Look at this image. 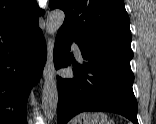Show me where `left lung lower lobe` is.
Returning <instances> with one entry per match:
<instances>
[{
    "mask_svg": "<svg viewBox=\"0 0 156 124\" xmlns=\"http://www.w3.org/2000/svg\"><path fill=\"white\" fill-rule=\"evenodd\" d=\"M73 41L71 36L58 31L54 46L56 69L71 64L69 51ZM80 51L85 61L83 65L73 64L74 78L57 77L58 124H66L84 111L114 112L138 124L130 63L110 55Z\"/></svg>",
    "mask_w": 156,
    "mask_h": 124,
    "instance_id": "obj_1",
    "label": "left lung lower lobe"
}]
</instances>
